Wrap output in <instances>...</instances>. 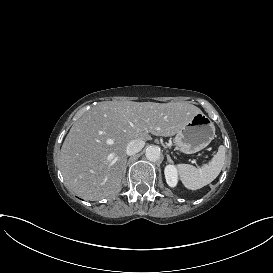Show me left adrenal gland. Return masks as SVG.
<instances>
[{
	"mask_svg": "<svg viewBox=\"0 0 273 273\" xmlns=\"http://www.w3.org/2000/svg\"><path fill=\"white\" fill-rule=\"evenodd\" d=\"M166 156H167V160H166L167 162H174L168 153H166Z\"/></svg>",
	"mask_w": 273,
	"mask_h": 273,
	"instance_id": "1",
	"label": "left adrenal gland"
}]
</instances>
